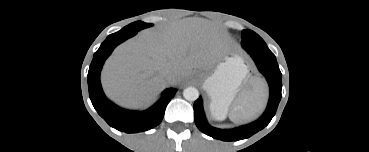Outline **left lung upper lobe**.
Returning <instances> with one entry per match:
<instances>
[{
    "label": "left lung upper lobe",
    "mask_w": 369,
    "mask_h": 152,
    "mask_svg": "<svg viewBox=\"0 0 369 152\" xmlns=\"http://www.w3.org/2000/svg\"><path fill=\"white\" fill-rule=\"evenodd\" d=\"M241 45L249 54L254 53L257 55L275 57L264 40L252 30L246 29L242 31Z\"/></svg>",
    "instance_id": "5c2ea615"
}]
</instances>
